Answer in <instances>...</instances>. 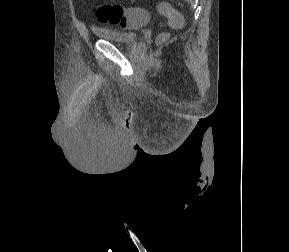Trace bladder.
<instances>
[{"mask_svg":"<svg viewBox=\"0 0 289 252\" xmlns=\"http://www.w3.org/2000/svg\"><path fill=\"white\" fill-rule=\"evenodd\" d=\"M93 32L98 39L127 46L135 44L139 38V34L133 31H119L107 28H95Z\"/></svg>","mask_w":289,"mask_h":252,"instance_id":"1","label":"bladder"}]
</instances>
